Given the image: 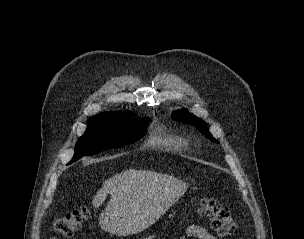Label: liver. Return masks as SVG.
Returning a JSON list of instances; mask_svg holds the SVG:
<instances>
[{
	"instance_id": "liver-1",
	"label": "liver",
	"mask_w": 304,
	"mask_h": 239,
	"mask_svg": "<svg viewBox=\"0 0 304 239\" xmlns=\"http://www.w3.org/2000/svg\"><path fill=\"white\" fill-rule=\"evenodd\" d=\"M187 189L186 182L174 176L128 169L105 180L92 204L100 207L110 194L99 224L111 234L127 236L153 225Z\"/></svg>"
}]
</instances>
